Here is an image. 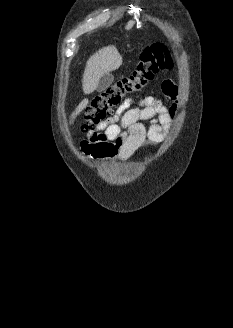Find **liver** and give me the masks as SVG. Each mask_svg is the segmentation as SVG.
Returning <instances> with one entry per match:
<instances>
[{"label":"liver","mask_w":233,"mask_h":328,"mask_svg":"<svg viewBox=\"0 0 233 328\" xmlns=\"http://www.w3.org/2000/svg\"><path fill=\"white\" fill-rule=\"evenodd\" d=\"M122 65V56L114 45L99 49L87 61L82 79V88L85 94L97 89L100 78ZM88 99H84L71 115V122L86 108Z\"/></svg>","instance_id":"1"}]
</instances>
